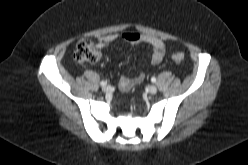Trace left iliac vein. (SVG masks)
Masks as SVG:
<instances>
[{
  "mask_svg": "<svg viewBox=\"0 0 248 165\" xmlns=\"http://www.w3.org/2000/svg\"><path fill=\"white\" fill-rule=\"evenodd\" d=\"M148 91L150 94H156L157 93V87L154 85H151L148 87Z\"/></svg>",
  "mask_w": 248,
  "mask_h": 165,
  "instance_id": "1",
  "label": "left iliac vein"
}]
</instances>
